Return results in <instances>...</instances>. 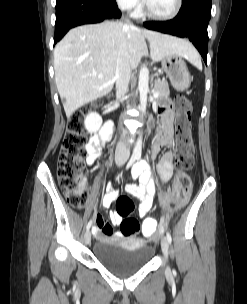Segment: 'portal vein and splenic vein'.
I'll use <instances>...</instances> for the list:
<instances>
[{"mask_svg":"<svg viewBox=\"0 0 247 304\" xmlns=\"http://www.w3.org/2000/svg\"><path fill=\"white\" fill-rule=\"evenodd\" d=\"M98 76L101 77L102 74H99ZM157 95H158V93H157V92H154V96H157Z\"/></svg>","mask_w":247,"mask_h":304,"instance_id":"portal-vein-and-splenic-vein-1","label":"portal vein and splenic vein"}]
</instances>
